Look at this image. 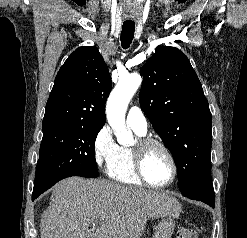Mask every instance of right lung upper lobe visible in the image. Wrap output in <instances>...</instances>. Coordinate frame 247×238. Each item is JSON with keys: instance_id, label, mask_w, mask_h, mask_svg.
<instances>
[{"instance_id": "right-lung-upper-lobe-1", "label": "right lung upper lobe", "mask_w": 247, "mask_h": 238, "mask_svg": "<svg viewBox=\"0 0 247 238\" xmlns=\"http://www.w3.org/2000/svg\"><path fill=\"white\" fill-rule=\"evenodd\" d=\"M111 88L110 74L99 51L93 46L77 48L57 73L46 104L43 131L80 124L104 125Z\"/></svg>"}]
</instances>
